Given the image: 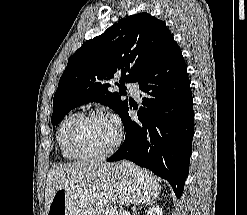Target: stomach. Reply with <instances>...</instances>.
Masks as SVG:
<instances>
[{
    "instance_id": "stomach-1",
    "label": "stomach",
    "mask_w": 247,
    "mask_h": 215,
    "mask_svg": "<svg viewBox=\"0 0 247 215\" xmlns=\"http://www.w3.org/2000/svg\"><path fill=\"white\" fill-rule=\"evenodd\" d=\"M159 191V183L148 171L123 161L105 170L86 188L57 190L46 215H99L115 203H149Z\"/></svg>"
}]
</instances>
